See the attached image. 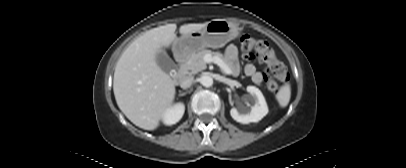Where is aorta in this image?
I'll return each mask as SVG.
<instances>
[{
    "label": "aorta",
    "instance_id": "1",
    "mask_svg": "<svg viewBox=\"0 0 406 168\" xmlns=\"http://www.w3.org/2000/svg\"><path fill=\"white\" fill-rule=\"evenodd\" d=\"M200 83L204 86V87H211L213 85V79L208 76V75H203L200 78Z\"/></svg>",
    "mask_w": 406,
    "mask_h": 168
}]
</instances>
